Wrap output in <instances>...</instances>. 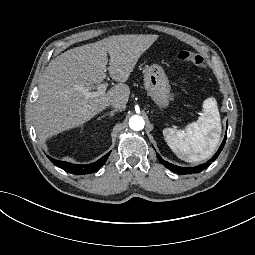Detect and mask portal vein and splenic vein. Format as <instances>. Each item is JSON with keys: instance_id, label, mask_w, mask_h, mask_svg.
<instances>
[{"instance_id": "18ae733b", "label": "portal vein and splenic vein", "mask_w": 255, "mask_h": 255, "mask_svg": "<svg viewBox=\"0 0 255 255\" xmlns=\"http://www.w3.org/2000/svg\"><path fill=\"white\" fill-rule=\"evenodd\" d=\"M107 87L108 83H103L97 87V91L90 92L85 88H80V91L84 93L85 98H94L104 95Z\"/></svg>"}]
</instances>
